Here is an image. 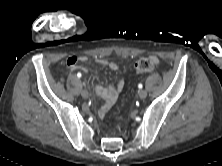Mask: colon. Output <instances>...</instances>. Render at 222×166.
Instances as JSON below:
<instances>
[{"label":"colon","mask_w":222,"mask_h":166,"mask_svg":"<svg viewBox=\"0 0 222 166\" xmlns=\"http://www.w3.org/2000/svg\"><path fill=\"white\" fill-rule=\"evenodd\" d=\"M156 61L152 57L140 58L135 64V70L137 73L151 72L155 67Z\"/></svg>","instance_id":"5ec220e1"}]
</instances>
